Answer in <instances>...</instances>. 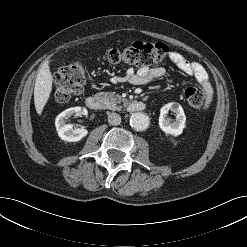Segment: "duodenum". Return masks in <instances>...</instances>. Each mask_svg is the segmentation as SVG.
<instances>
[{
    "label": "duodenum",
    "instance_id": "obj_1",
    "mask_svg": "<svg viewBox=\"0 0 247 247\" xmlns=\"http://www.w3.org/2000/svg\"><path fill=\"white\" fill-rule=\"evenodd\" d=\"M86 105L89 109L101 111L104 109V102L96 95H90L86 98ZM145 109V104L141 101L134 100L129 104V110L132 112H141Z\"/></svg>",
    "mask_w": 247,
    "mask_h": 247
}]
</instances>
